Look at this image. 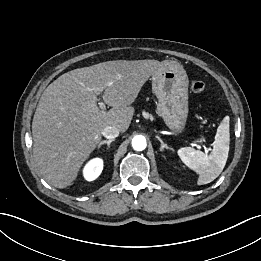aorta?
<instances>
[{
  "label": "aorta",
  "instance_id": "1",
  "mask_svg": "<svg viewBox=\"0 0 261 261\" xmlns=\"http://www.w3.org/2000/svg\"><path fill=\"white\" fill-rule=\"evenodd\" d=\"M147 143H146V139L144 136L142 135H137L135 137H133L132 139V147L134 150L136 151H142L146 148Z\"/></svg>",
  "mask_w": 261,
  "mask_h": 261
}]
</instances>
